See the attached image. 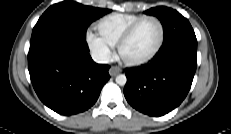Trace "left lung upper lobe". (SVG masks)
Instances as JSON below:
<instances>
[{"label": "left lung upper lobe", "mask_w": 231, "mask_h": 134, "mask_svg": "<svg viewBox=\"0 0 231 134\" xmlns=\"http://www.w3.org/2000/svg\"><path fill=\"white\" fill-rule=\"evenodd\" d=\"M144 13L156 16L161 21L164 32L162 48L180 41L196 40L189 21L176 10L160 6L151 8Z\"/></svg>", "instance_id": "5c2ea615"}]
</instances>
